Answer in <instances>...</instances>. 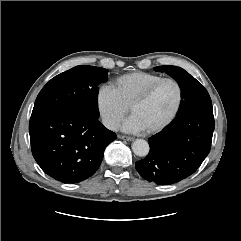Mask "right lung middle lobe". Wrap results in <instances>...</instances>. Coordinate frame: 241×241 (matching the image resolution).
I'll return each instance as SVG.
<instances>
[{"instance_id":"dd1d6c3e","label":"right lung middle lobe","mask_w":241,"mask_h":241,"mask_svg":"<svg viewBox=\"0 0 241 241\" xmlns=\"http://www.w3.org/2000/svg\"><path fill=\"white\" fill-rule=\"evenodd\" d=\"M108 70L76 66L52 78L40 91L32 115L73 110L98 118V85L107 81Z\"/></svg>"}]
</instances>
